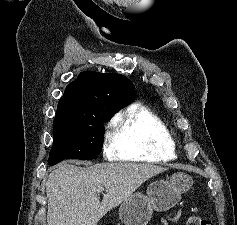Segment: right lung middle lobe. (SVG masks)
<instances>
[{
	"label": "right lung middle lobe",
	"mask_w": 237,
	"mask_h": 225,
	"mask_svg": "<svg viewBox=\"0 0 237 225\" xmlns=\"http://www.w3.org/2000/svg\"><path fill=\"white\" fill-rule=\"evenodd\" d=\"M115 112L102 111L91 121L80 122L69 119H54V144L49 160L95 159L102 151L103 123Z\"/></svg>",
	"instance_id": "right-lung-middle-lobe-1"
}]
</instances>
